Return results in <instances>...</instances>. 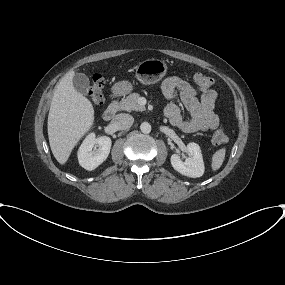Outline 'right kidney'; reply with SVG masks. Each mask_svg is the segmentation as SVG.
I'll return each mask as SVG.
<instances>
[{
  "label": "right kidney",
  "instance_id": "1",
  "mask_svg": "<svg viewBox=\"0 0 285 285\" xmlns=\"http://www.w3.org/2000/svg\"><path fill=\"white\" fill-rule=\"evenodd\" d=\"M111 139L107 136L95 138L90 133L78 150L79 164L86 170L92 171L102 164L108 157L111 149ZM97 149H93L94 147Z\"/></svg>",
  "mask_w": 285,
  "mask_h": 285
}]
</instances>
